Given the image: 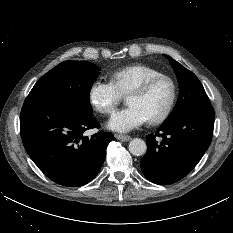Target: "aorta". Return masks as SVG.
<instances>
[{
  "mask_svg": "<svg viewBox=\"0 0 233 233\" xmlns=\"http://www.w3.org/2000/svg\"><path fill=\"white\" fill-rule=\"evenodd\" d=\"M129 151L134 156H142L147 151L146 142L140 138H134L129 143Z\"/></svg>",
  "mask_w": 233,
  "mask_h": 233,
  "instance_id": "obj_1",
  "label": "aorta"
}]
</instances>
